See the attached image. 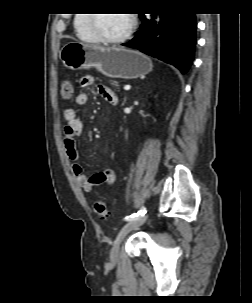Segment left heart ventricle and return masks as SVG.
Segmentation results:
<instances>
[{"mask_svg":"<svg viewBox=\"0 0 252 303\" xmlns=\"http://www.w3.org/2000/svg\"><path fill=\"white\" fill-rule=\"evenodd\" d=\"M130 22L128 14H98L97 28L108 37H115L123 34Z\"/></svg>","mask_w":252,"mask_h":303,"instance_id":"b2bd125f","label":"left heart ventricle"}]
</instances>
